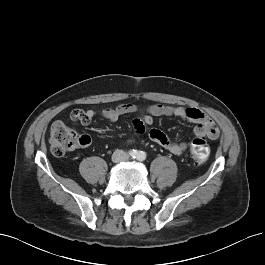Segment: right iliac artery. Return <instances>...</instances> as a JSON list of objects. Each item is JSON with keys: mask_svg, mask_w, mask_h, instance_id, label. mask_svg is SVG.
Listing matches in <instances>:
<instances>
[{"mask_svg": "<svg viewBox=\"0 0 265 265\" xmlns=\"http://www.w3.org/2000/svg\"><path fill=\"white\" fill-rule=\"evenodd\" d=\"M129 155L132 157V158H137L138 156V152L136 150H130L129 151Z\"/></svg>", "mask_w": 265, "mask_h": 265, "instance_id": "obj_1", "label": "right iliac artery"}]
</instances>
